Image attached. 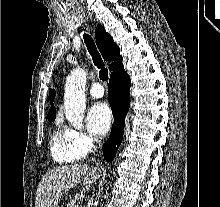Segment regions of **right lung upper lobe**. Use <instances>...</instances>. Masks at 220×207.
Here are the masks:
<instances>
[{
	"label": "right lung upper lobe",
	"mask_w": 220,
	"mask_h": 207,
	"mask_svg": "<svg viewBox=\"0 0 220 207\" xmlns=\"http://www.w3.org/2000/svg\"><path fill=\"white\" fill-rule=\"evenodd\" d=\"M96 44L99 51L101 52L104 60L113 61L109 68L112 69L114 65L122 59L120 56V49L116 43H114L113 38L103 29L101 25H98L95 31ZM50 103H53L55 98V90H49ZM56 110L54 105H52L48 112V120H55Z\"/></svg>",
	"instance_id": "1"
}]
</instances>
